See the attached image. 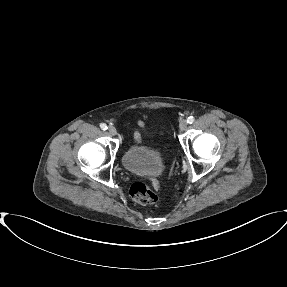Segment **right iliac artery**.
<instances>
[{
  "label": "right iliac artery",
  "instance_id": "82829eb1",
  "mask_svg": "<svg viewBox=\"0 0 287 287\" xmlns=\"http://www.w3.org/2000/svg\"><path fill=\"white\" fill-rule=\"evenodd\" d=\"M100 128H101L102 130H106L108 127H107V125H106L105 123H101V124H100Z\"/></svg>",
  "mask_w": 287,
  "mask_h": 287
}]
</instances>
